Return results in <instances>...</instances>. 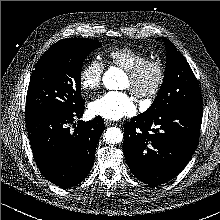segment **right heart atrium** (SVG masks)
Segmentation results:
<instances>
[{
	"instance_id": "obj_1",
	"label": "right heart atrium",
	"mask_w": 220,
	"mask_h": 220,
	"mask_svg": "<svg viewBox=\"0 0 220 220\" xmlns=\"http://www.w3.org/2000/svg\"><path fill=\"white\" fill-rule=\"evenodd\" d=\"M104 71L103 63L96 59H90L81 69L79 84L83 91L93 92L100 87Z\"/></svg>"
}]
</instances>
